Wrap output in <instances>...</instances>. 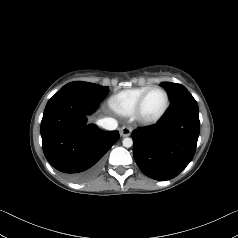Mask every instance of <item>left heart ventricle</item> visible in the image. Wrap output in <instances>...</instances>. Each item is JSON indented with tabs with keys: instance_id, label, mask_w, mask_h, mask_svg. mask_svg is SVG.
<instances>
[{
	"instance_id": "obj_1",
	"label": "left heart ventricle",
	"mask_w": 238,
	"mask_h": 238,
	"mask_svg": "<svg viewBox=\"0 0 238 238\" xmlns=\"http://www.w3.org/2000/svg\"><path fill=\"white\" fill-rule=\"evenodd\" d=\"M165 101V95L161 90L155 89L151 91L144 102L143 115L148 118L155 117L164 108Z\"/></svg>"
}]
</instances>
